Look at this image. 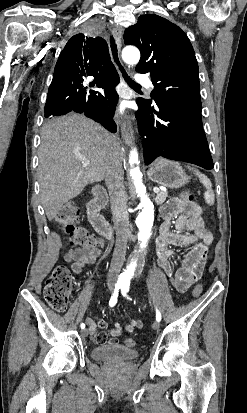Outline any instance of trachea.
Returning a JSON list of instances; mask_svg holds the SVG:
<instances>
[{
  "label": "trachea",
  "mask_w": 247,
  "mask_h": 413,
  "mask_svg": "<svg viewBox=\"0 0 247 413\" xmlns=\"http://www.w3.org/2000/svg\"><path fill=\"white\" fill-rule=\"evenodd\" d=\"M111 49L113 52V56L115 59V62H117V64L119 65V68L123 74L124 79L126 80V82L128 83V85H130L131 88H133V90H141V86L134 82V80H132L126 73V71L124 70V68L120 65L119 60H118V56H117V46L113 40V38L111 39Z\"/></svg>",
  "instance_id": "obj_1"
}]
</instances>
